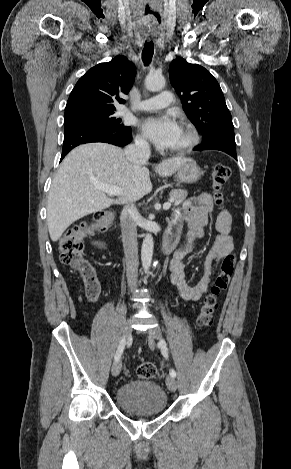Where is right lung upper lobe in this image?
I'll use <instances>...</instances> for the list:
<instances>
[{
    "label": "right lung upper lobe",
    "instance_id": "right-lung-upper-lobe-1",
    "mask_svg": "<svg viewBox=\"0 0 291 469\" xmlns=\"http://www.w3.org/2000/svg\"><path fill=\"white\" fill-rule=\"evenodd\" d=\"M134 78L135 66L124 56L119 55L110 62L94 66L76 83L67 101L65 114L115 109V103H125L120 96L129 92Z\"/></svg>",
    "mask_w": 291,
    "mask_h": 469
}]
</instances>
